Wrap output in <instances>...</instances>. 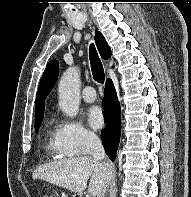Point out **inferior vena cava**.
Segmentation results:
<instances>
[{
    "instance_id": "inferior-vena-cava-1",
    "label": "inferior vena cava",
    "mask_w": 191,
    "mask_h": 197,
    "mask_svg": "<svg viewBox=\"0 0 191 197\" xmlns=\"http://www.w3.org/2000/svg\"><path fill=\"white\" fill-rule=\"evenodd\" d=\"M88 147L90 151V155L97 161H103L106 157L104 148L102 146L101 140L95 134H90L88 136ZM105 185L101 191L99 192L97 197H104L106 192Z\"/></svg>"
}]
</instances>
